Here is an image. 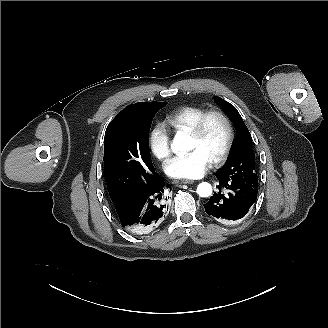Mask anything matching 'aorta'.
Listing matches in <instances>:
<instances>
[{
    "label": "aorta",
    "instance_id": "762f6f07",
    "mask_svg": "<svg viewBox=\"0 0 328 328\" xmlns=\"http://www.w3.org/2000/svg\"><path fill=\"white\" fill-rule=\"evenodd\" d=\"M192 141L189 135L183 132H177L173 142L171 144V149L175 154H181L192 150ZM197 193L201 197H209L212 195V186L207 182H202L197 187Z\"/></svg>",
    "mask_w": 328,
    "mask_h": 328
}]
</instances>
